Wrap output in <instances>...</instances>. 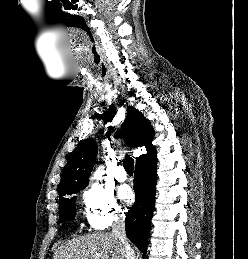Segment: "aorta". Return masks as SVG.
<instances>
[{"label": "aorta", "mask_w": 248, "mask_h": 259, "mask_svg": "<svg viewBox=\"0 0 248 259\" xmlns=\"http://www.w3.org/2000/svg\"><path fill=\"white\" fill-rule=\"evenodd\" d=\"M104 171L102 170V167H99L95 173H94V178L97 180L102 179V175H103Z\"/></svg>", "instance_id": "obj_1"}]
</instances>
